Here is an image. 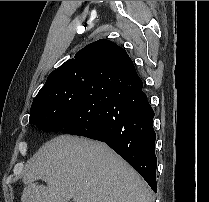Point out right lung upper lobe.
Segmentation results:
<instances>
[{
  "label": "right lung upper lobe",
  "mask_w": 209,
  "mask_h": 202,
  "mask_svg": "<svg viewBox=\"0 0 209 202\" xmlns=\"http://www.w3.org/2000/svg\"><path fill=\"white\" fill-rule=\"evenodd\" d=\"M130 61L123 48L109 40L100 39L85 46L75 54L74 59H69L54 70L46 82L58 76L76 73L98 77L111 69H124Z\"/></svg>",
  "instance_id": "right-lung-upper-lobe-1"
}]
</instances>
